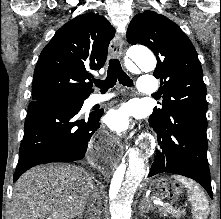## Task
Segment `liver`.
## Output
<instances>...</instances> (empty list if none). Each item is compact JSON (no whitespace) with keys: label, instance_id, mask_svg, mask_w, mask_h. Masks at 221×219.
Returning a JSON list of instances; mask_svg holds the SVG:
<instances>
[{"label":"liver","instance_id":"obj_1","mask_svg":"<svg viewBox=\"0 0 221 219\" xmlns=\"http://www.w3.org/2000/svg\"><path fill=\"white\" fill-rule=\"evenodd\" d=\"M96 189L92 175L79 166L34 167L14 185L9 219H73Z\"/></svg>","mask_w":221,"mask_h":219}]
</instances>
